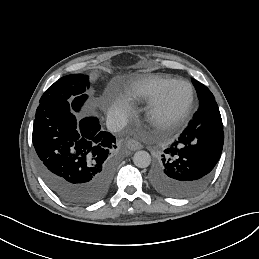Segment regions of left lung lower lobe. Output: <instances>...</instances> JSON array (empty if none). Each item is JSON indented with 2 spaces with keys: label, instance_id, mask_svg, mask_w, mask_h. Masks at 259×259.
<instances>
[{
  "label": "left lung lower lobe",
  "instance_id": "obj_1",
  "mask_svg": "<svg viewBox=\"0 0 259 259\" xmlns=\"http://www.w3.org/2000/svg\"><path fill=\"white\" fill-rule=\"evenodd\" d=\"M223 143V124L215 99L201 101L188 127L150 172L151 187L172 198L198 193L208 183Z\"/></svg>",
  "mask_w": 259,
  "mask_h": 259
}]
</instances>
